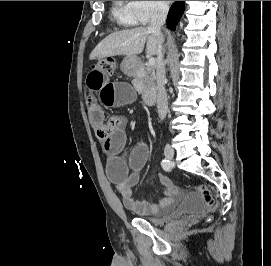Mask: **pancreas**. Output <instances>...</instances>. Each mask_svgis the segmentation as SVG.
Returning a JSON list of instances; mask_svg holds the SVG:
<instances>
[{
    "instance_id": "1",
    "label": "pancreas",
    "mask_w": 271,
    "mask_h": 266,
    "mask_svg": "<svg viewBox=\"0 0 271 266\" xmlns=\"http://www.w3.org/2000/svg\"><path fill=\"white\" fill-rule=\"evenodd\" d=\"M145 72L147 74H150L148 78L144 76L136 77L132 81L134 88L137 90L139 94H142L145 91L146 87L152 86L155 81V72L151 66L146 65Z\"/></svg>"
}]
</instances>
